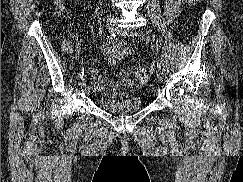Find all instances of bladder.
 <instances>
[{"mask_svg": "<svg viewBox=\"0 0 243 182\" xmlns=\"http://www.w3.org/2000/svg\"><path fill=\"white\" fill-rule=\"evenodd\" d=\"M98 104L104 111L117 115L135 113L143 107L138 96H126L117 99L102 96L99 98Z\"/></svg>", "mask_w": 243, "mask_h": 182, "instance_id": "31cf9c89", "label": "bladder"}]
</instances>
